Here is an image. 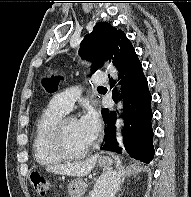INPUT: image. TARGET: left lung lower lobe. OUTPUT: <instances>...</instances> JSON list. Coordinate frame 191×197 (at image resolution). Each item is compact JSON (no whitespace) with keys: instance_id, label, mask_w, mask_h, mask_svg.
<instances>
[{"instance_id":"1","label":"left lung lower lobe","mask_w":191,"mask_h":197,"mask_svg":"<svg viewBox=\"0 0 191 197\" xmlns=\"http://www.w3.org/2000/svg\"><path fill=\"white\" fill-rule=\"evenodd\" d=\"M120 84L124 103V145L132 158L149 163L154 157L153 130L151 126L152 110L151 95L148 82L142 70L138 69L119 72ZM114 82L111 81V87ZM118 94L113 90V100L116 102ZM103 120L107 123L106 142L103 150L120 153L115 138L116 113L108 109L102 111Z\"/></svg>"}]
</instances>
